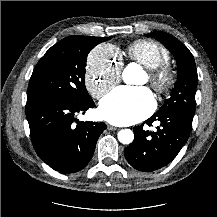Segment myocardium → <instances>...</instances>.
<instances>
[{"instance_id":"f54148a6","label":"myocardium","mask_w":217,"mask_h":217,"mask_svg":"<svg viewBox=\"0 0 217 217\" xmlns=\"http://www.w3.org/2000/svg\"><path fill=\"white\" fill-rule=\"evenodd\" d=\"M148 81L158 94H166L174 87L176 76L169 65L165 63L148 70Z\"/></svg>"}]
</instances>
